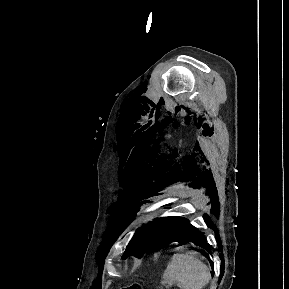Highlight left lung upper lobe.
Wrapping results in <instances>:
<instances>
[{
    "mask_svg": "<svg viewBox=\"0 0 289 289\" xmlns=\"http://www.w3.org/2000/svg\"><path fill=\"white\" fill-rule=\"evenodd\" d=\"M166 225L164 220H160L143 226L129 242L123 258L130 255L140 258L148 250H159L163 247L167 243Z\"/></svg>",
    "mask_w": 289,
    "mask_h": 289,
    "instance_id": "obj_1",
    "label": "left lung upper lobe"
}]
</instances>
